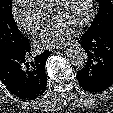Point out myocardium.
Here are the masks:
<instances>
[{
  "label": "myocardium",
  "mask_w": 113,
  "mask_h": 113,
  "mask_svg": "<svg viewBox=\"0 0 113 113\" xmlns=\"http://www.w3.org/2000/svg\"><path fill=\"white\" fill-rule=\"evenodd\" d=\"M60 1L61 0H52L50 2L46 11L47 18H49V15L53 12V10L56 8V6ZM94 5H95V0H88L87 14L84 17V19L74 27L76 30L83 29L84 27L88 26L91 23L94 16Z\"/></svg>",
  "instance_id": "1"
}]
</instances>
